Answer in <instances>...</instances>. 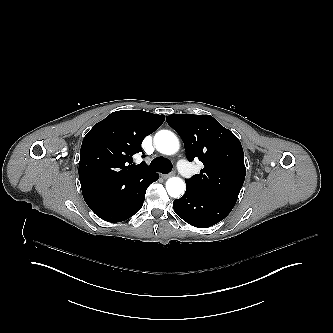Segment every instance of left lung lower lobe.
Returning a JSON list of instances; mask_svg holds the SVG:
<instances>
[{"instance_id":"obj_1","label":"left lung lower lobe","mask_w":333,"mask_h":333,"mask_svg":"<svg viewBox=\"0 0 333 333\" xmlns=\"http://www.w3.org/2000/svg\"><path fill=\"white\" fill-rule=\"evenodd\" d=\"M234 201L204 196L186 187L185 194L174 200L175 213L188 224L207 228L223 220L235 206Z\"/></svg>"}]
</instances>
